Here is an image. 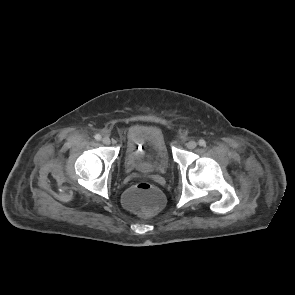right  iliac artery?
<instances>
[{"mask_svg": "<svg viewBox=\"0 0 295 295\" xmlns=\"http://www.w3.org/2000/svg\"><path fill=\"white\" fill-rule=\"evenodd\" d=\"M94 138L97 140V141H100L101 140V135L100 134H96L94 136Z\"/></svg>", "mask_w": 295, "mask_h": 295, "instance_id": "82829eb1", "label": "right iliac artery"}]
</instances>
